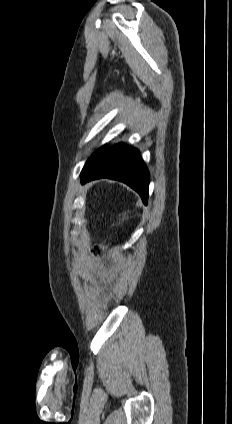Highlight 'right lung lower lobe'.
Masks as SVG:
<instances>
[{
    "mask_svg": "<svg viewBox=\"0 0 232 424\" xmlns=\"http://www.w3.org/2000/svg\"><path fill=\"white\" fill-rule=\"evenodd\" d=\"M99 178L126 183L138 192L143 203L147 204L150 175L137 149L123 143L108 149L105 146L96 159L81 173V183Z\"/></svg>",
    "mask_w": 232,
    "mask_h": 424,
    "instance_id": "obj_1",
    "label": "right lung lower lobe"
}]
</instances>
